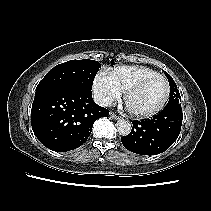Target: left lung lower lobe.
I'll return each mask as SVG.
<instances>
[{
  "instance_id": "0a47b994",
  "label": "left lung lower lobe",
  "mask_w": 211,
  "mask_h": 211,
  "mask_svg": "<svg viewBox=\"0 0 211 211\" xmlns=\"http://www.w3.org/2000/svg\"><path fill=\"white\" fill-rule=\"evenodd\" d=\"M181 104L167 105L159 114L144 121H134L129 135L121 137L123 146L141 155H157L167 150L180 134Z\"/></svg>"
}]
</instances>
